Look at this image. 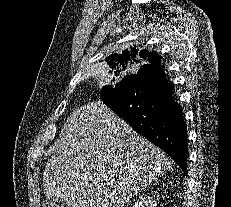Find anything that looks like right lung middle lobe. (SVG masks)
Here are the masks:
<instances>
[{"label":"right lung middle lobe","instance_id":"dd1d6c3e","mask_svg":"<svg viewBox=\"0 0 231 207\" xmlns=\"http://www.w3.org/2000/svg\"><path fill=\"white\" fill-rule=\"evenodd\" d=\"M112 88H114V87H111V86L103 87V89L101 90V94H103L105 90H109V89H112Z\"/></svg>","mask_w":231,"mask_h":207}]
</instances>
